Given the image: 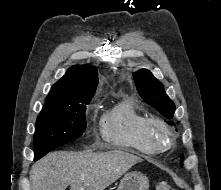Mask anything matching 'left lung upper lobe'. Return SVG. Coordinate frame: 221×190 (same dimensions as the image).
<instances>
[{
	"instance_id": "1",
	"label": "left lung upper lobe",
	"mask_w": 221,
	"mask_h": 190,
	"mask_svg": "<svg viewBox=\"0 0 221 190\" xmlns=\"http://www.w3.org/2000/svg\"><path fill=\"white\" fill-rule=\"evenodd\" d=\"M138 94L149 105L167 118H172L175 110L174 103L165 93L163 85L147 69L133 73Z\"/></svg>"
}]
</instances>
